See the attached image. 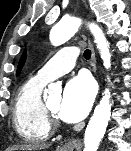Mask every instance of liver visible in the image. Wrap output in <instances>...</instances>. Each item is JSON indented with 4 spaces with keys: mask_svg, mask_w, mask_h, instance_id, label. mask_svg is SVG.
<instances>
[{
    "mask_svg": "<svg viewBox=\"0 0 131 151\" xmlns=\"http://www.w3.org/2000/svg\"><path fill=\"white\" fill-rule=\"evenodd\" d=\"M49 145L47 144H28V145H20V146H13L8 148V151H40L43 149L48 148Z\"/></svg>",
    "mask_w": 131,
    "mask_h": 151,
    "instance_id": "obj_1",
    "label": "liver"
}]
</instances>
